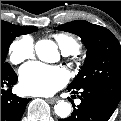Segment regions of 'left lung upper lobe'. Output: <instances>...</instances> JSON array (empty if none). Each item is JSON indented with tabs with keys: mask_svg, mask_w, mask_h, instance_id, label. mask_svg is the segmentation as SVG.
<instances>
[{
	"mask_svg": "<svg viewBox=\"0 0 121 121\" xmlns=\"http://www.w3.org/2000/svg\"><path fill=\"white\" fill-rule=\"evenodd\" d=\"M55 29L80 36L87 48L83 69L68 88H98L120 100L121 46L116 37L108 29L83 20L69 22Z\"/></svg>",
	"mask_w": 121,
	"mask_h": 121,
	"instance_id": "1",
	"label": "left lung upper lobe"
}]
</instances>
